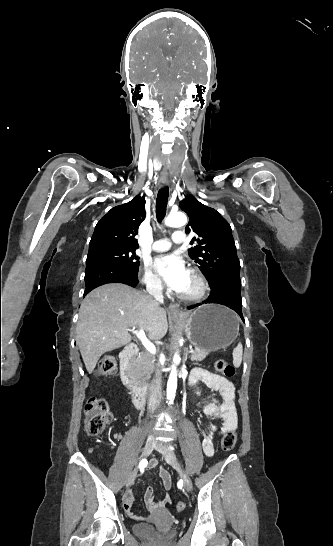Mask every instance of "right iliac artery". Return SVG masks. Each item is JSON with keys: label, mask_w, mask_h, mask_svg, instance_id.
Segmentation results:
<instances>
[{"label": "right iliac artery", "mask_w": 333, "mask_h": 546, "mask_svg": "<svg viewBox=\"0 0 333 546\" xmlns=\"http://www.w3.org/2000/svg\"><path fill=\"white\" fill-rule=\"evenodd\" d=\"M147 465V460L146 459H142L139 463V468L142 469L144 468L145 466Z\"/></svg>", "instance_id": "right-iliac-artery-1"}]
</instances>
